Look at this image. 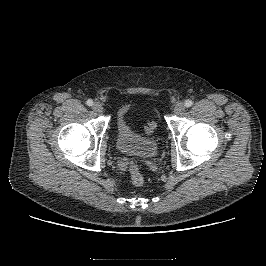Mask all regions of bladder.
I'll list each match as a JSON object with an SVG mask.
<instances>
[{
    "label": "bladder",
    "mask_w": 266,
    "mask_h": 266,
    "mask_svg": "<svg viewBox=\"0 0 266 266\" xmlns=\"http://www.w3.org/2000/svg\"><path fill=\"white\" fill-rule=\"evenodd\" d=\"M116 147L123 154L149 159L156 155L158 142L154 137L139 135L127 120V109L121 108L117 115Z\"/></svg>",
    "instance_id": "obj_1"
}]
</instances>
